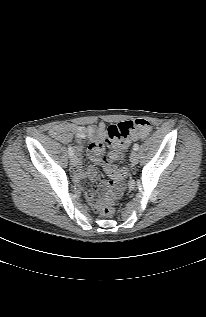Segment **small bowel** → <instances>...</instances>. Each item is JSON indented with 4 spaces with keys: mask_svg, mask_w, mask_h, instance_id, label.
<instances>
[{
    "mask_svg": "<svg viewBox=\"0 0 206 317\" xmlns=\"http://www.w3.org/2000/svg\"><path fill=\"white\" fill-rule=\"evenodd\" d=\"M49 135L63 144L69 143L73 136L76 137L79 143L87 140L89 157L94 162L99 161L100 156L105 149L106 131L105 124L103 122H100L98 125H91L86 127L74 124H59L53 126L49 130ZM81 151V147H77L75 149L76 155L79 156L81 154ZM115 156L116 151L113 149L110 153V157L113 158ZM75 176L77 179H82L84 177L96 179L97 172L93 166H88L84 171H82L78 167ZM85 197L94 209H98L99 203L95 197L94 192H86Z\"/></svg>",
    "mask_w": 206,
    "mask_h": 317,
    "instance_id": "obj_1",
    "label": "small bowel"
}]
</instances>
